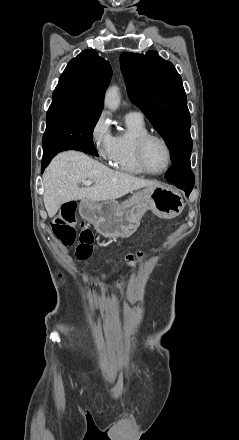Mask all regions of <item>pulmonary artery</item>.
<instances>
[{"mask_svg":"<svg viewBox=\"0 0 239 440\" xmlns=\"http://www.w3.org/2000/svg\"><path fill=\"white\" fill-rule=\"evenodd\" d=\"M127 117H132L138 120H144V115L141 112V110L136 109V108H132L128 111L127 113Z\"/></svg>","mask_w":239,"mask_h":440,"instance_id":"1","label":"pulmonary artery"}]
</instances>
